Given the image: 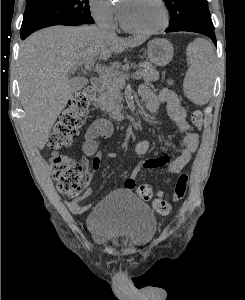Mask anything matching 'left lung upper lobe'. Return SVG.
<instances>
[{
    "label": "left lung upper lobe",
    "mask_w": 245,
    "mask_h": 300,
    "mask_svg": "<svg viewBox=\"0 0 245 300\" xmlns=\"http://www.w3.org/2000/svg\"><path fill=\"white\" fill-rule=\"evenodd\" d=\"M170 13L168 29L183 24L214 27L207 0H164Z\"/></svg>",
    "instance_id": "1"
}]
</instances>
